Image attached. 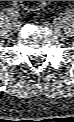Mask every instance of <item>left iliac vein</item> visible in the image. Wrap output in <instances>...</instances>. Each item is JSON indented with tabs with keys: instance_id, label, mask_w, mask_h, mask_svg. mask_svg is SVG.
Here are the masks:
<instances>
[{
	"instance_id": "obj_1",
	"label": "left iliac vein",
	"mask_w": 74,
	"mask_h": 122,
	"mask_svg": "<svg viewBox=\"0 0 74 122\" xmlns=\"http://www.w3.org/2000/svg\"><path fill=\"white\" fill-rule=\"evenodd\" d=\"M46 26L50 27V29L55 33V34H59L60 33V28L58 24H46Z\"/></svg>"
}]
</instances>
